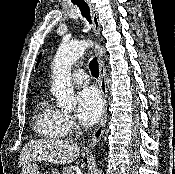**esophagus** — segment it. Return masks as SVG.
Listing matches in <instances>:
<instances>
[{"label": "esophagus", "instance_id": "34e87169", "mask_svg": "<svg viewBox=\"0 0 175 174\" xmlns=\"http://www.w3.org/2000/svg\"><path fill=\"white\" fill-rule=\"evenodd\" d=\"M87 3L89 5L90 12H91L93 31H94L95 35L98 37L100 35L101 28H100V22H99L97 10H96L95 5L90 0H87ZM98 68H99V88H100V91H101L102 96H103V114H102V118H101V121H100L97 129L93 133L91 142L89 143L90 148L95 147L97 145V143L100 141V139L104 133L106 119H107L108 93H107V85H106V68H105L104 62L100 56H98Z\"/></svg>", "mask_w": 175, "mask_h": 174}]
</instances>
